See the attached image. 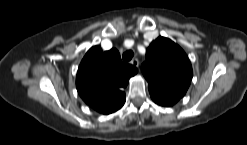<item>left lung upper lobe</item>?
<instances>
[{
    "mask_svg": "<svg viewBox=\"0 0 247 145\" xmlns=\"http://www.w3.org/2000/svg\"><path fill=\"white\" fill-rule=\"evenodd\" d=\"M142 72L148 81L149 90L179 99L186 93L193 74L185 52L165 37H158L147 48Z\"/></svg>",
    "mask_w": 247,
    "mask_h": 145,
    "instance_id": "5c2ea615",
    "label": "left lung upper lobe"
}]
</instances>
